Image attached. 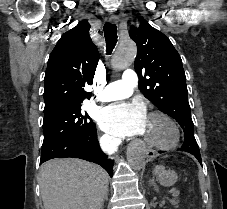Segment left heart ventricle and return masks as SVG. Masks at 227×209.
Instances as JSON below:
<instances>
[{"label": "left heart ventricle", "instance_id": "left-heart-ventricle-1", "mask_svg": "<svg viewBox=\"0 0 227 209\" xmlns=\"http://www.w3.org/2000/svg\"><path fill=\"white\" fill-rule=\"evenodd\" d=\"M139 135L153 142L167 143L172 138V130L164 120L148 117L146 126Z\"/></svg>", "mask_w": 227, "mask_h": 209}]
</instances>
